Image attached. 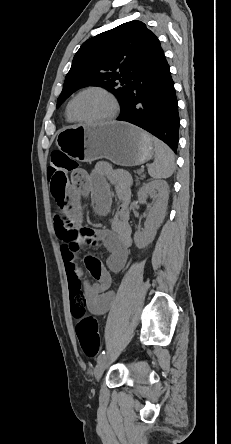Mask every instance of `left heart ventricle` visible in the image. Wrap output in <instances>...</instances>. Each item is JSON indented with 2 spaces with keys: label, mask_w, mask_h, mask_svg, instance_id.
Listing matches in <instances>:
<instances>
[{
  "label": "left heart ventricle",
  "mask_w": 231,
  "mask_h": 444,
  "mask_svg": "<svg viewBox=\"0 0 231 444\" xmlns=\"http://www.w3.org/2000/svg\"><path fill=\"white\" fill-rule=\"evenodd\" d=\"M76 114L86 120H97L111 112V105L106 96L97 91H89L76 100Z\"/></svg>",
  "instance_id": "b2bd125f"
}]
</instances>
